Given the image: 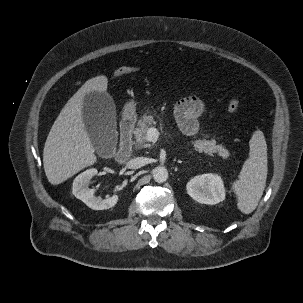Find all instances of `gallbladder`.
Here are the masks:
<instances>
[{
	"label": "gallbladder",
	"mask_w": 303,
	"mask_h": 303,
	"mask_svg": "<svg viewBox=\"0 0 303 303\" xmlns=\"http://www.w3.org/2000/svg\"><path fill=\"white\" fill-rule=\"evenodd\" d=\"M83 120L92 144L99 155L113 150L116 144V111L108 93L90 92L83 101Z\"/></svg>",
	"instance_id": "bac80fb5"
}]
</instances>
